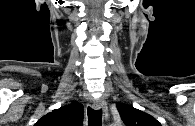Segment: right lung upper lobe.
Returning a JSON list of instances; mask_svg holds the SVG:
<instances>
[{
	"label": "right lung upper lobe",
	"instance_id": "cb5924a9",
	"mask_svg": "<svg viewBox=\"0 0 195 126\" xmlns=\"http://www.w3.org/2000/svg\"><path fill=\"white\" fill-rule=\"evenodd\" d=\"M82 121L83 105L72 102L43 116L34 126H81Z\"/></svg>",
	"mask_w": 195,
	"mask_h": 126
}]
</instances>
